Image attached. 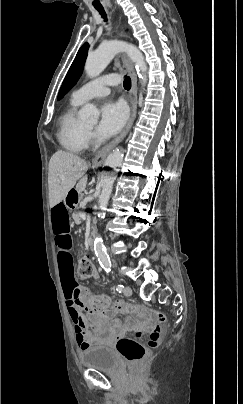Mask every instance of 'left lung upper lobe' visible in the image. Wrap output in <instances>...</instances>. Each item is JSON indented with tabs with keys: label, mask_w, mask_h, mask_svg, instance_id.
<instances>
[{
	"label": "left lung upper lobe",
	"mask_w": 243,
	"mask_h": 404,
	"mask_svg": "<svg viewBox=\"0 0 243 404\" xmlns=\"http://www.w3.org/2000/svg\"><path fill=\"white\" fill-rule=\"evenodd\" d=\"M89 44L85 43L79 49L63 83L59 90L57 99L60 100L78 81L87 57Z\"/></svg>",
	"instance_id": "obj_1"
}]
</instances>
